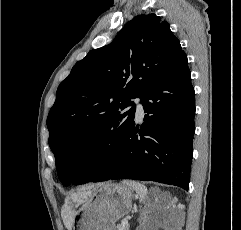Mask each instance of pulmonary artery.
<instances>
[{"label": "pulmonary artery", "mask_w": 241, "mask_h": 230, "mask_svg": "<svg viewBox=\"0 0 241 230\" xmlns=\"http://www.w3.org/2000/svg\"><path fill=\"white\" fill-rule=\"evenodd\" d=\"M133 105L136 107V114H137V118L141 119L144 115V108L143 105L141 103V99L140 98H135L133 100Z\"/></svg>", "instance_id": "pulmonary-artery-1"}]
</instances>
